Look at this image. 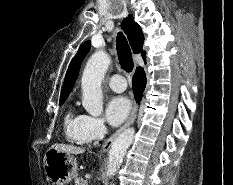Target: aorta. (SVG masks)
<instances>
[{
  "label": "aorta",
  "instance_id": "762f6f07",
  "mask_svg": "<svg viewBox=\"0 0 233 185\" xmlns=\"http://www.w3.org/2000/svg\"><path fill=\"white\" fill-rule=\"evenodd\" d=\"M110 57L104 51L95 52L88 60L82 75V104L93 117L103 112V94L101 82L110 64ZM135 134L134 128L123 131L113 142L108 155L106 176L112 177L120 167L123 157L131 145Z\"/></svg>",
  "mask_w": 233,
  "mask_h": 185
}]
</instances>
